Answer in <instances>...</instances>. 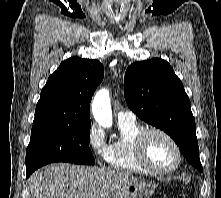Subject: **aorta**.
Segmentation results:
<instances>
[{"mask_svg": "<svg viewBox=\"0 0 221 198\" xmlns=\"http://www.w3.org/2000/svg\"><path fill=\"white\" fill-rule=\"evenodd\" d=\"M92 114L99 125L107 128L112 126L110 94L107 89H100L94 96L92 101Z\"/></svg>", "mask_w": 221, "mask_h": 198, "instance_id": "1", "label": "aorta"}]
</instances>
